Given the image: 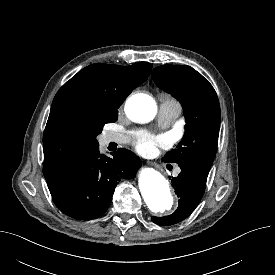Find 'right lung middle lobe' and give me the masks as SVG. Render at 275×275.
<instances>
[{
	"label": "right lung middle lobe",
	"mask_w": 275,
	"mask_h": 275,
	"mask_svg": "<svg viewBox=\"0 0 275 275\" xmlns=\"http://www.w3.org/2000/svg\"><path fill=\"white\" fill-rule=\"evenodd\" d=\"M117 119H118L117 112L112 114L111 116L99 118L94 124L95 137L101 133V131L106 123L115 122Z\"/></svg>",
	"instance_id": "obj_1"
}]
</instances>
